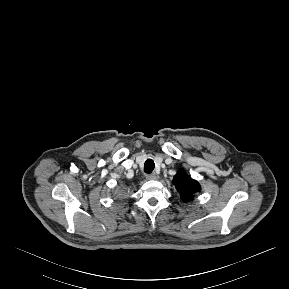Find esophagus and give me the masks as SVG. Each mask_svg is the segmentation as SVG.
I'll return each instance as SVG.
<instances>
[{
    "label": "esophagus",
    "instance_id": "esophagus-1",
    "mask_svg": "<svg viewBox=\"0 0 289 289\" xmlns=\"http://www.w3.org/2000/svg\"><path fill=\"white\" fill-rule=\"evenodd\" d=\"M146 179L147 180H156L157 179V176L155 174H148L146 176Z\"/></svg>",
    "mask_w": 289,
    "mask_h": 289
}]
</instances>
